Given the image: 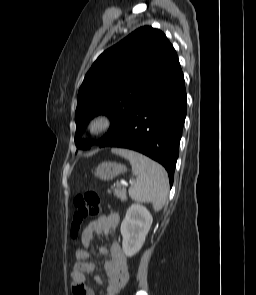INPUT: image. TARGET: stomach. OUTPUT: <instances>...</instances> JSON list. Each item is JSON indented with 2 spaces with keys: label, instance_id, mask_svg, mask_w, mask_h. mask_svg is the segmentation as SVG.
Here are the masks:
<instances>
[{
  "label": "stomach",
  "instance_id": "1",
  "mask_svg": "<svg viewBox=\"0 0 256 295\" xmlns=\"http://www.w3.org/2000/svg\"><path fill=\"white\" fill-rule=\"evenodd\" d=\"M126 171L127 168L124 165L108 161L100 163L95 169L94 174L101 180L109 181Z\"/></svg>",
  "mask_w": 256,
  "mask_h": 295
}]
</instances>
